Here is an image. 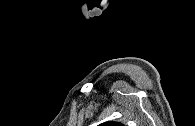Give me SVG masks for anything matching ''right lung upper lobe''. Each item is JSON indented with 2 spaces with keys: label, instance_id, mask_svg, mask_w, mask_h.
I'll use <instances>...</instances> for the list:
<instances>
[{
  "label": "right lung upper lobe",
  "instance_id": "right-lung-upper-lobe-1",
  "mask_svg": "<svg viewBox=\"0 0 195 126\" xmlns=\"http://www.w3.org/2000/svg\"><path fill=\"white\" fill-rule=\"evenodd\" d=\"M99 126H124L118 122H105L100 124Z\"/></svg>",
  "mask_w": 195,
  "mask_h": 126
}]
</instances>
